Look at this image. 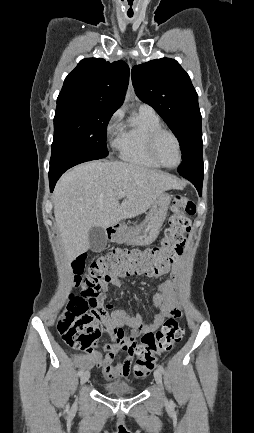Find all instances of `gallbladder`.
Masks as SVG:
<instances>
[{
	"instance_id": "1",
	"label": "gallbladder",
	"mask_w": 254,
	"mask_h": 433,
	"mask_svg": "<svg viewBox=\"0 0 254 433\" xmlns=\"http://www.w3.org/2000/svg\"><path fill=\"white\" fill-rule=\"evenodd\" d=\"M89 244L90 250L93 252H100L105 249L107 244V236L102 227H92L89 230Z\"/></svg>"
}]
</instances>
